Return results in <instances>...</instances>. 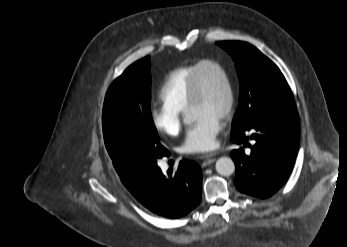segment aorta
Instances as JSON below:
<instances>
[{"label": "aorta", "mask_w": 347, "mask_h": 247, "mask_svg": "<svg viewBox=\"0 0 347 247\" xmlns=\"http://www.w3.org/2000/svg\"><path fill=\"white\" fill-rule=\"evenodd\" d=\"M192 121V117L189 114H186L183 118L185 124H190ZM216 171L222 176H230L235 171V164L231 158L221 157L216 161Z\"/></svg>", "instance_id": "obj_1"}]
</instances>
